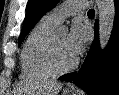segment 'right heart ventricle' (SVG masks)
I'll use <instances>...</instances> for the list:
<instances>
[{
    "mask_svg": "<svg viewBox=\"0 0 119 95\" xmlns=\"http://www.w3.org/2000/svg\"><path fill=\"white\" fill-rule=\"evenodd\" d=\"M56 26V23L43 17L31 30L20 54L23 78L42 80L53 75L46 61V49Z\"/></svg>",
    "mask_w": 119,
    "mask_h": 95,
    "instance_id": "obj_1",
    "label": "right heart ventricle"
}]
</instances>
